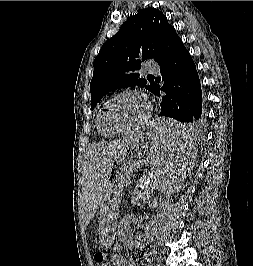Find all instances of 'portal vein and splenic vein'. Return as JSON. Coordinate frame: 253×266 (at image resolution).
Here are the masks:
<instances>
[{
    "mask_svg": "<svg viewBox=\"0 0 253 266\" xmlns=\"http://www.w3.org/2000/svg\"><path fill=\"white\" fill-rule=\"evenodd\" d=\"M145 193H146V192H143V194H144V195H145ZM140 197H143V195H142V194H140Z\"/></svg>",
    "mask_w": 253,
    "mask_h": 266,
    "instance_id": "portal-vein-and-splenic-vein-1",
    "label": "portal vein and splenic vein"
}]
</instances>
